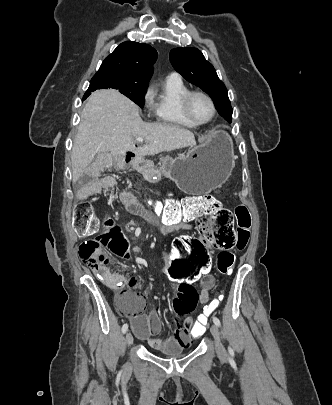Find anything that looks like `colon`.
Listing matches in <instances>:
<instances>
[{"instance_id": "colon-1", "label": "colon", "mask_w": 332, "mask_h": 405, "mask_svg": "<svg viewBox=\"0 0 332 405\" xmlns=\"http://www.w3.org/2000/svg\"><path fill=\"white\" fill-rule=\"evenodd\" d=\"M147 204L157 216L166 220H183L209 211V220H200L196 234H179L176 240L177 255L165 258L168 264L163 271L170 273V281L179 282L181 287H193L195 281H206V275L210 273L208 257H213V249L224 250L217 256V269L221 274L228 275L234 266L235 252L243 250L249 242L251 216L245 206L235 207L234 227L232 211L228 207L214 211L219 207V202L210 195L169 198L165 202L149 199ZM74 226L79 234L88 237L79 246L80 259L105 275L108 284L118 290V300H132V296L119 285L117 275L109 269L108 256H127L130 252L125 247L120 228L114 226L108 217H99L94 206L86 200L79 201L74 207ZM105 227H110L113 233L106 240L108 254L103 245ZM213 307H204L203 311H198L189 334L190 342L202 341L203 331L215 312Z\"/></svg>"}]
</instances>
